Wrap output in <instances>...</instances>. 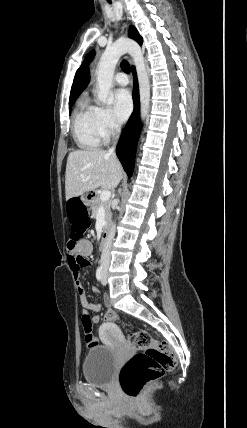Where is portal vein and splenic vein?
Returning <instances> with one entry per match:
<instances>
[{"instance_id":"18ae733b","label":"portal vein and splenic vein","mask_w":247,"mask_h":428,"mask_svg":"<svg viewBox=\"0 0 247 428\" xmlns=\"http://www.w3.org/2000/svg\"><path fill=\"white\" fill-rule=\"evenodd\" d=\"M110 196H111V192L108 190H104L100 194V199L102 202H106L110 199Z\"/></svg>"}]
</instances>
